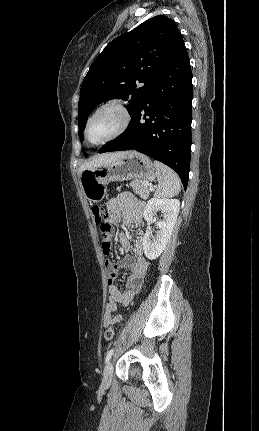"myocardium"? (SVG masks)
<instances>
[{
	"label": "myocardium",
	"instance_id": "obj_1",
	"mask_svg": "<svg viewBox=\"0 0 259 431\" xmlns=\"http://www.w3.org/2000/svg\"><path fill=\"white\" fill-rule=\"evenodd\" d=\"M108 108H114L116 109L121 116V122L119 127L117 128V130L115 132H113L111 135H109L108 137H106L105 139L99 141V142H91L89 140L88 137V130H89V126L92 122V120L103 110L108 109ZM131 112L129 109V106L127 104V102L122 99V98H111L108 99L107 101L101 103L99 106H97L94 111L89 115L86 124H85V128H84V138L85 140L91 144V145H95V146H99V145H103L109 141H112L116 138H118L119 136H121L129 127L130 123H131Z\"/></svg>",
	"mask_w": 259,
	"mask_h": 431
}]
</instances>
